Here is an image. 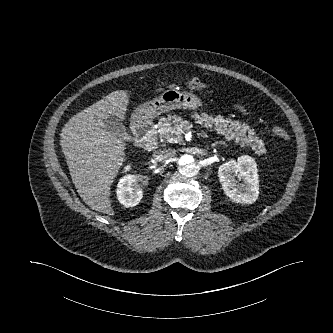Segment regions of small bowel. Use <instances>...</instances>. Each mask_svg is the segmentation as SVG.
<instances>
[{"label":"small bowel","instance_id":"obj_1","mask_svg":"<svg viewBox=\"0 0 333 333\" xmlns=\"http://www.w3.org/2000/svg\"><path fill=\"white\" fill-rule=\"evenodd\" d=\"M238 111L241 112V113H246L247 110L243 107H238Z\"/></svg>","mask_w":333,"mask_h":333}]
</instances>
